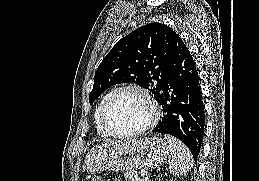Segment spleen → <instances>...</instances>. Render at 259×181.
<instances>
[{
    "mask_svg": "<svg viewBox=\"0 0 259 181\" xmlns=\"http://www.w3.org/2000/svg\"><path fill=\"white\" fill-rule=\"evenodd\" d=\"M164 139L168 143L171 154L169 170L173 175L180 176L186 174L193 165L192 155L185 144L177 138L165 134Z\"/></svg>",
    "mask_w": 259,
    "mask_h": 181,
    "instance_id": "3e777b00",
    "label": "spleen"
}]
</instances>
